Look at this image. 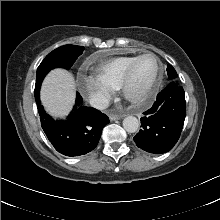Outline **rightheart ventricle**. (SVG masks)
<instances>
[{
	"instance_id": "e07e8e85",
	"label": "right heart ventricle",
	"mask_w": 220,
	"mask_h": 220,
	"mask_svg": "<svg viewBox=\"0 0 220 220\" xmlns=\"http://www.w3.org/2000/svg\"><path fill=\"white\" fill-rule=\"evenodd\" d=\"M137 55H127L112 58L95 67L97 76L106 81L113 88H120L123 76L128 66Z\"/></svg>"
}]
</instances>
